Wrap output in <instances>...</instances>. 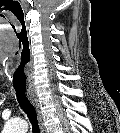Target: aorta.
<instances>
[{
    "label": "aorta",
    "mask_w": 120,
    "mask_h": 133,
    "mask_svg": "<svg viewBox=\"0 0 120 133\" xmlns=\"http://www.w3.org/2000/svg\"><path fill=\"white\" fill-rule=\"evenodd\" d=\"M26 124L23 120L9 122L6 126V133H21L26 130Z\"/></svg>",
    "instance_id": "obj_1"
}]
</instances>
